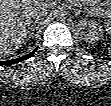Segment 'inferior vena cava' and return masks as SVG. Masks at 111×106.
I'll list each match as a JSON object with an SVG mask.
<instances>
[{
  "label": "inferior vena cava",
  "instance_id": "obj_1",
  "mask_svg": "<svg viewBox=\"0 0 111 106\" xmlns=\"http://www.w3.org/2000/svg\"><path fill=\"white\" fill-rule=\"evenodd\" d=\"M48 14V10L45 6V3H37L31 9V16L35 20H40L42 17H45Z\"/></svg>",
  "mask_w": 111,
  "mask_h": 106
}]
</instances>
